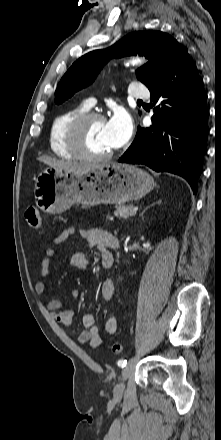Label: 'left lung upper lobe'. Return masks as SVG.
Segmentation results:
<instances>
[{"mask_svg":"<svg viewBox=\"0 0 221 440\" xmlns=\"http://www.w3.org/2000/svg\"><path fill=\"white\" fill-rule=\"evenodd\" d=\"M181 49L173 37L160 31L130 33L108 49L92 51L80 57L62 77L55 91V103L64 102L89 85L113 57L139 54L148 58V63L136 70V77L149 87Z\"/></svg>","mask_w":221,"mask_h":440,"instance_id":"obj_1","label":"left lung upper lobe"}]
</instances>
